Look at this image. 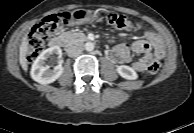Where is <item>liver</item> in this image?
Instances as JSON below:
<instances>
[{
	"instance_id": "1",
	"label": "liver",
	"mask_w": 194,
	"mask_h": 133,
	"mask_svg": "<svg viewBox=\"0 0 194 133\" xmlns=\"http://www.w3.org/2000/svg\"><path fill=\"white\" fill-rule=\"evenodd\" d=\"M28 51H29L28 37L25 36L22 40V43L19 49V62L24 71H27L28 69V61L26 59Z\"/></svg>"
}]
</instances>
